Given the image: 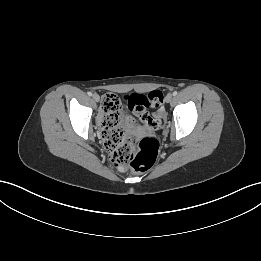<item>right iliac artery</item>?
<instances>
[{
  "label": "right iliac artery",
  "instance_id": "1",
  "mask_svg": "<svg viewBox=\"0 0 261 261\" xmlns=\"http://www.w3.org/2000/svg\"><path fill=\"white\" fill-rule=\"evenodd\" d=\"M88 95H89V96H92V92H88Z\"/></svg>",
  "mask_w": 261,
  "mask_h": 261
}]
</instances>
